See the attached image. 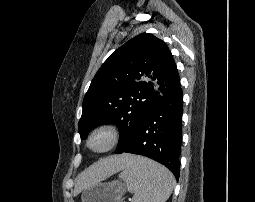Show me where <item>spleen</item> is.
<instances>
[{
  "label": "spleen",
  "mask_w": 255,
  "mask_h": 202,
  "mask_svg": "<svg viewBox=\"0 0 255 202\" xmlns=\"http://www.w3.org/2000/svg\"><path fill=\"white\" fill-rule=\"evenodd\" d=\"M119 177L134 194L132 202H166L175 186L174 176L166 167L144 157L134 156Z\"/></svg>",
  "instance_id": "3e777b00"
}]
</instances>
